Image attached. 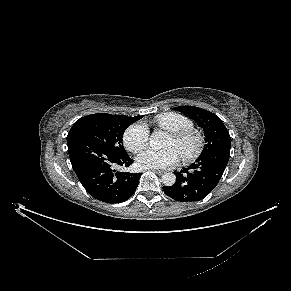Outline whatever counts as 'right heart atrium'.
Wrapping results in <instances>:
<instances>
[{"label":"right heart atrium","mask_w":291,"mask_h":291,"mask_svg":"<svg viewBox=\"0 0 291 291\" xmlns=\"http://www.w3.org/2000/svg\"><path fill=\"white\" fill-rule=\"evenodd\" d=\"M149 138L148 127L143 123H135L124 132L123 141L129 151L137 153L147 146Z\"/></svg>","instance_id":"1"}]
</instances>
